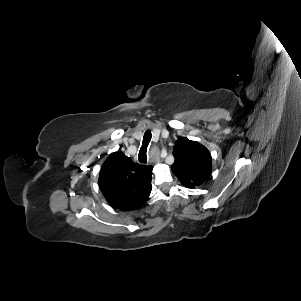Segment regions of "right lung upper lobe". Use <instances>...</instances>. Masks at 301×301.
<instances>
[{
  "label": "right lung upper lobe",
  "instance_id": "obj_1",
  "mask_svg": "<svg viewBox=\"0 0 301 301\" xmlns=\"http://www.w3.org/2000/svg\"><path fill=\"white\" fill-rule=\"evenodd\" d=\"M152 166L134 163L117 151L106 159L99 175V187L108 203L130 211L146 203L151 192Z\"/></svg>",
  "mask_w": 301,
  "mask_h": 301
}]
</instances>
